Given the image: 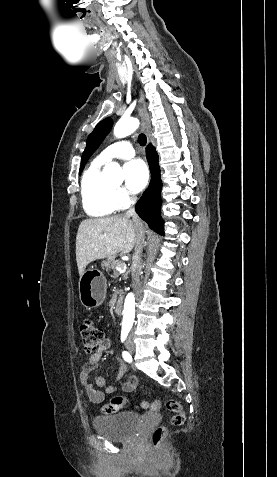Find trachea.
Returning a JSON list of instances; mask_svg holds the SVG:
<instances>
[{
  "mask_svg": "<svg viewBox=\"0 0 277 477\" xmlns=\"http://www.w3.org/2000/svg\"><path fill=\"white\" fill-rule=\"evenodd\" d=\"M146 136L144 134H140L139 137H138V142L141 146H145L146 145Z\"/></svg>",
  "mask_w": 277,
  "mask_h": 477,
  "instance_id": "trachea-1",
  "label": "trachea"
}]
</instances>
